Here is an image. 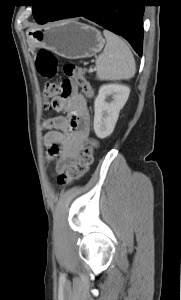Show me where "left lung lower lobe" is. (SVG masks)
<instances>
[{"label": "left lung lower lobe", "instance_id": "obj_1", "mask_svg": "<svg viewBox=\"0 0 181 300\" xmlns=\"http://www.w3.org/2000/svg\"><path fill=\"white\" fill-rule=\"evenodd\" d=\"M143 14L142 0H72L67 5L58 6L47 22L85 17L124 37L142 56Z\"/></svg>", "mask_w": 181, "mask_h": 300}]
</instances>
